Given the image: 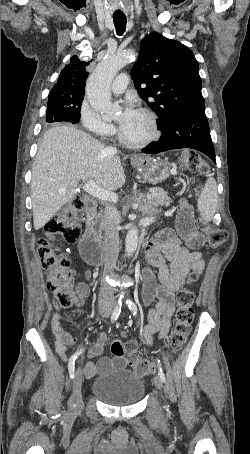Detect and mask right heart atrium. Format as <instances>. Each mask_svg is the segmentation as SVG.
<instances>
[{
    "instance_id": "right-heart-atrium-1",
    "label": "right heart atrium",
    "mask_w": 250,
    "mask_h": 454,
    "mask_svg": "<svg viewBox=\"0 0 250 454\" xmlns=\"http://www.w3.org/2000/svg\"><path fill=\"white\" fill-rule=\"evenodd\" d=\"M79 116L83 129L98 137H108L115 131L114 126L104 121L87 99H84L81 103Z\"/></svg>"
}]
</instances>
